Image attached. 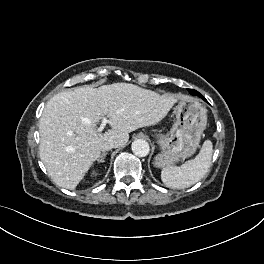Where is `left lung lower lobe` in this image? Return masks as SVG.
<instances>
[{
    "label": "left lung lower lobe",
    "mask_w": 264,
    "mask_h": 264,
    "mask_svg": "<svg viewBox=\"0 0 264 264\" xmlns=\"http://www.w3.org/2000/svg\"><path fill=\"white\" fill-rule=\"evenodd\" d=\"M189 92L192 94V95H198V96H201V94L195 90H190L189 89ZM202 97V96H201Z\"/></svg>",
    "instance_id": "left-lung-lower-lobe-1"
}]
</instances>
